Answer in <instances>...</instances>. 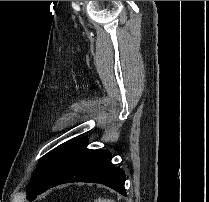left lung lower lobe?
Here are the masks:
<instances>
[{
	"mask_svg": "<svg viewBox=\"0 0 209 202\" xmlns=\"http://www.w3.org/2000/svg\"><path fill=\"white\" fill-rule=\"evenodd\" d=\"M87 142L77 138L64 143L42 183L27 199L33 201L49 188L70 182L99 183L126 196L124 171L110 162L109 151L87 149Z\"/></svg>",
	"mask_w": 209,
	"mask_h": 202,
	"instance_id": "left-lung-lower-lobe-1",
	"label": "left lung lower lobe"
}]
</instances>
